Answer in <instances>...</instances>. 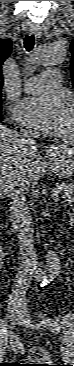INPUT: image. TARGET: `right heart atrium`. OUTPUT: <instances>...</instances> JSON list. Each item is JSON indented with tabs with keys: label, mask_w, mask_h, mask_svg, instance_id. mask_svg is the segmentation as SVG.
<instances>
[{
	"label": "right heart atrium",
	"mask_w": 74,
	"mask_h": 366,
	"mask_svg": "<svg viewBox=\"0 0 74 366\" xmlns=\"http://www.w3.org/2000/svg\"><path fill=\"white\" fill-rule=\"evenodd\" d=\"M17 120H18V118H17ZM18 122L20 123V124H22L19 120H18ZM23 125V124H22Z\"/></svg>",
	"instance_id": "obj_1"
}]
</instances>
